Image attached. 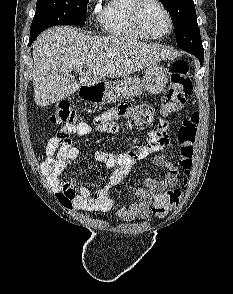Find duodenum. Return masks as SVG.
<instances>
[{"label": "duodenum", "mask_w": 233, "mask_h": 294, "mask_svg": "<svg viewBox=\"0 0 233 294\" xmlns=\"http://www.w3.org/2000/svg\"><path fill=\"white\" fill-rule=\"evenodd\" d=\"M102 86L101 85H93V86H87L83 87L80 91V96L83 99L90 100L94 97L99 96L102 93Z\"/></svg>", "instance_id": "obj_1"}]
</instances>
